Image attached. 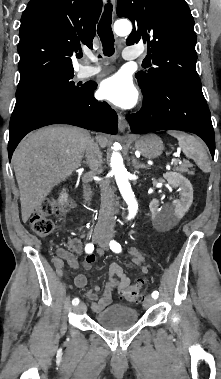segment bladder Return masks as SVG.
Masks as SVG:
<instances>
[{"label": "bladder", "mask_w": 221, "mask_h": 379, "mask_svg": "<svg viewBox=\"0 0 221 379\" xmlns=\"http://www.w3.org/2000/svg\"><path fill=\"white\" fill-rule=\"evenodd\" d=\"M138 319V311L123 304H113L95 316L97 324L111 331L126 330L134 326Z\"/></svg>", "instance_id": "obj_1"}]
</instances>
